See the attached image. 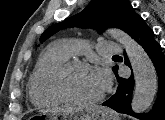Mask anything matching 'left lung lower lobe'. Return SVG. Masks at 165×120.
I'll use <instances>...</instances> for the list:
<instances>
[{"label": "left lung lower lobe", "mask_w": 165, "mask_h": 120, "mask_svg": "<svg viewBox=\"0 0 165 120\" xmlns=\"http://www.w3.org/2000/svg\"><path fill=\"white\" fill-rule=\"evenodd\" d=\"M130 36L142 46L155 66L159 81L156 102L153 105L152 111L148 114L133 112L131 109L132 92L134 88L133 75L129 78L119 77L117 67L116 77L119 83L118 89L116 93L102 105L142 120H165V55L162 52L160 44L155 40L153 30L145 23L141 16L137 20ZM125 64L130 67L127 58L125 59Z\"/></svg>", "instance_id": "left-lung-lower-lobe-1"}]
</instances>
